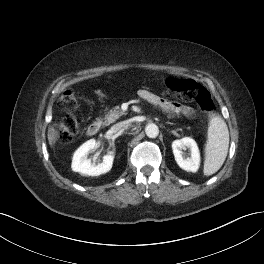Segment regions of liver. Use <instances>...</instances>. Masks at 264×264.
Here are the masks:
<instances>
[{
	"label": "liver",
	"instance_id": "1",
	"mask_svg": "<svg viewBox=\"0 0 264 264\" xmlns=\"http://www.w3.org/2000/svg\"><path fill=\"white\" fill-rule=\"evenodd\" d=\"M48 141H49V144H50L51 147L56 142V138H55L53 129H49V131H48Z\"/></svg>",
	"mask_w": 264,
	"mask_h": 264
}]
</instances>
